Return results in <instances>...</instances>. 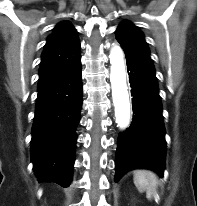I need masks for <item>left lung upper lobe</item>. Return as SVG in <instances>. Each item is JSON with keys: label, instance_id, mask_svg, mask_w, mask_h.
I'll list each match as a JSON object with an SVG mask.
<instances>
[{"label": "left lung upper lobe", "instance_id": "left-lung-upper-lobe-1", "mask_svg": "<svg viewBox=\"0 0 197 206\" xmlns=\"http://www.w3.org/2000/svg\"><path fill=\"white\" fill-rule=\"evenodd\" d=\"M116 39L121 44L127 57L137 62L155 76V69L150 58L149 48L143 33L138 27L129 21L122 22L116 30Z\"/></svg>", "mask_w": 197, "mask_h": 206}]
</instances>
